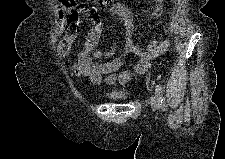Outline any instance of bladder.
Segmentation results:
<instances>
[{
    "label": "bladder",
    "mask_w": 225,
    "mask_h": 159,
    "mask_svg": "<svg viewBox=\"0 0 225 159\" xmlns=\"http://www.w3.org/2000/svg\"><path fill=\"white\" fill-rule=\"evenodd\" d=\"M107 97L114 101H124L129 95L128 92L122 89H115L107 93Z\"/></svg>",
    "instance_id": "1"
}]
</instances>
